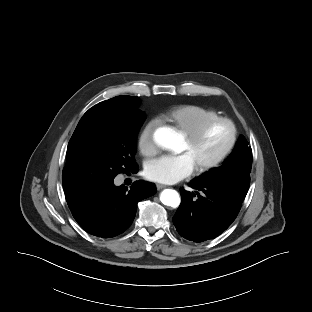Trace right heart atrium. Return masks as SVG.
<instances>
[{"label": "right heart atrium", "mask_w": 312, "mask_h": 312, "mask_svg": "<svg viewBox=\"0 0 312 312\" xmlns=\"http://www.w3.org/2000/svg\"><path fill=\"white\" fill-rule=\"evenodd\" d=\"M157 125L158 121L151 119L143 126L140 132L138 147L140 152L146 157H152L158 152V147L154 140V131Z\"/></svg>", "instance_id": "1"}]
</instances>
